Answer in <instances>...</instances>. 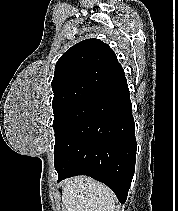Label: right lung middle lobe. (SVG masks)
Here are the masks:
<instances>
[{"mask_svg": "<svg viewBox=\"0 0 178 211\" xmlns=\"http://www.w3.org/2000/svg\"><path fill=\"white\" fill-rule=\"evenodd\" d=\"M95 103L96 101L92 100H79L53 108V129L55 131L54 152Z\"/></svg>", "mask_w": 178, "mask_h": 211, "instance_id": "right-lung-middle-lobe-1", "label": "right lung middle lobe"}]
</instances>
